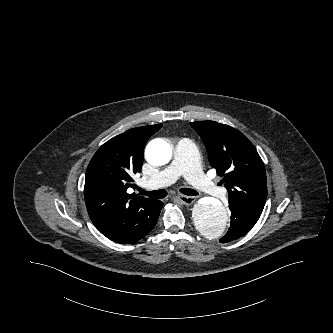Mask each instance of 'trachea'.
Listing matches in <instances>:
<instances>
[{"mask_svg":"<svg viewBox=\"0 0 333 333\" xmlns=\"http://www.w3.org/2000/svg\"><path fill=\"white\" fill-rule=\"evenodd\" d=\"M143 195H146L148 197H150L151 199H162L164 197H166L167 192L164 189H160V190H155V191H144L142 189L139 190ZM180 192H182L185 195L188 196H196L198 195V193L190 188H181Z\"/></svg>","mask_w":333,"mask_h":333,"instance_id":"1","label":"trachea"}]
</instances>
